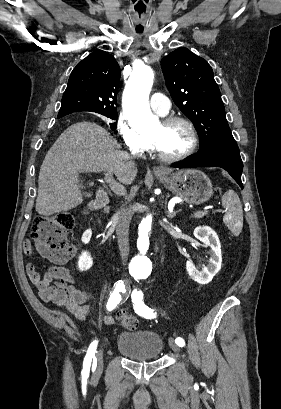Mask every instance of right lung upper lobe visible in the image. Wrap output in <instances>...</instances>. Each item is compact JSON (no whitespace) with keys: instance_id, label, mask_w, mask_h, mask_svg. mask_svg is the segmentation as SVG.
<instances>
[{"instance_id":"1","label":"right lung upper lobe","mask_w":281,"mask_h":409,"mask_svg":"<svg viewBox=\"0 0 281 409\" xmlns=\"http://www.w3.org/2000/svg\"><path fill=\"white\" fill-rule=\"evenodd\" d=\"M120 67L109 53L96 50L73 69L57 118L73 112H117Z\"/></svg>"}]
</instances>
